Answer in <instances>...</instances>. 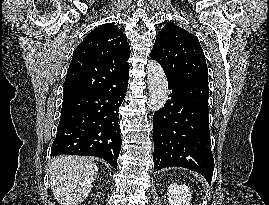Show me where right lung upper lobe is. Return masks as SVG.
Returning a JSON list of instances; mask_svg holds the SVG:
<instances>
[{
  "label": "right lung upper lobe",
  "instance_id": "right-lung-upper-lobe-1",
  "mask_svg": "<svg viewBox=\"0 0 269 205\" xmlns=\"http://www.w3.org/2000/svg\"><path fill=\"white\" fill-rule=\"evenodd\" d=\"M130 47L114 24L92 30L75 49L65 79L63 98L119 85L129 72Z\"/></svg>",
  "mask_w": 269,
  "mask_h": 205
}]
</instances>
